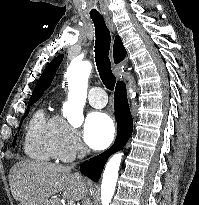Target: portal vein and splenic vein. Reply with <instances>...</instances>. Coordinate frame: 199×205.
<instances>
[{"mask_svg":"<svg viewBox=\"0 0 199 205\" xmlns=\"http://www.w3.org/2000/svg\"><path fill=\"white\" fill-rule=\"evenodd\" d=\"M68 205H75V202L69 201V202H68Z\"/></svg>","mask_w":199,"mask_h":205,"instance_id":"1","label":"portal vein and splenic vein"}]
</instances>
